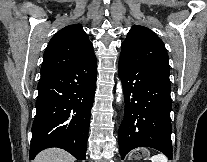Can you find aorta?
<instances>
[{
    "label": "aorta",
    "instance_id": "aorta-1",
    "mask_svg": "<svg viewBox=\"0 0 207 162\" xmlns=\"http://www.w3.org/2000/svg\"><path fill=\"white\" fill-rule=\"evenodd\" d=\"M116 92L118 93L117 101H120L121 100V94H122L121 82H118Z\"/></svg>",
    "mask_w": 207,
    "mask_h": 162
}]
</instances>
